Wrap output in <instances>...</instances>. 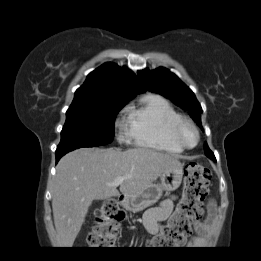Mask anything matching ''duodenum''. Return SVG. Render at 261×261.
Wrapping results in <instances>:
<instances>
[{"mask_svg":"<svg viewBox=\"0 0 261 261\" xmlns=\"http://www.w3.org/2000/svg\"><path fill=\"white\" fill-rule=\"evenodd\" d=\"M120 201L123 203L125 201V197L121 196Z\"/></svg>","mask_w":261,"mask_h":261,"instance_id":"duodenum-1","label":"duodenum"}]
</instances>
